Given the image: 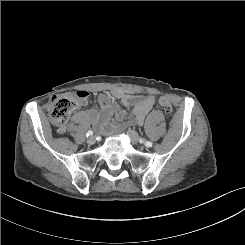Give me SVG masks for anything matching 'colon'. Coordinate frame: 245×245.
<instances>
[{"instance_id": "1", "label": "colon", "mask_w": 245, "mask_h": 245, "mask_svg": "<svg viewBox=\"0 0 245 245\" xmlns=\"http://www.w3.org/2000/svg\"><path fill=\"white\" fill-rule=\"evenodd\" d=\"M87 97V92L78 91L75 94H62L51 98L48 106V115L53 124L58 127L60 133L64 132L65 124L71 112ZM157 102L167 114L173 112V106L166 97H158Z\"/></svg>"}]
</instances>
